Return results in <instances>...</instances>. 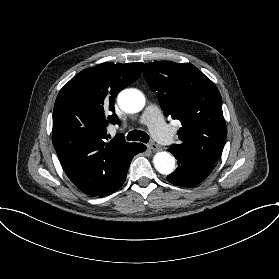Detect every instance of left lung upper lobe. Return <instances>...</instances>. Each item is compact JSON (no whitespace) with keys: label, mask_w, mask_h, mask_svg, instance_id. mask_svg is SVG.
<instances>
[{"label":"left lung upper lobe","mask_w":279,"mask_h":279,"mask_svg":"<svg viewBox=\"0 0 279 279\" xmlns=\"http://www.w3.org/2000/svg\"><path fill=\"white\" fill-rule=\"evenodd\" d=\"M144 77L156 92L165 116L180 120V143L170 148L216 163L227 135L221 95L214 83L189 63L156 61L145 64Z\"/></svg>","instance_id":"obj_1"}]
</instances>
